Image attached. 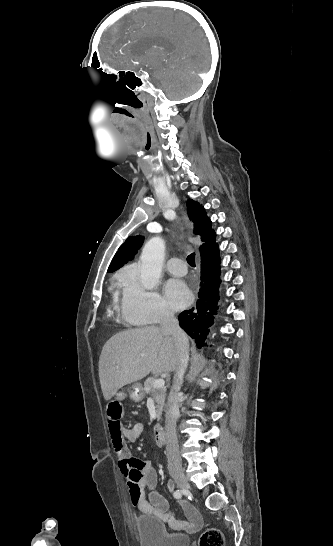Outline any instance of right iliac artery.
<instances>
[{
    "instance_id": "right-iliac-artery-1",
    "label": "right iliac artery",
    "mask_w": 333,
    "mask_h": 546,
    "mask_svg": "<svg viewBox=\"0 0 333 546\" xmlns=\"http://www.w3.org/2000/svg\"><path fill=\"white\" fill-rule=\"evenodd\" d=\"M181 496H182V493H181L180 490H176V491L174 492V497H175V498L179 499V498H181Z\"/></svg>"
}]
</instances>
